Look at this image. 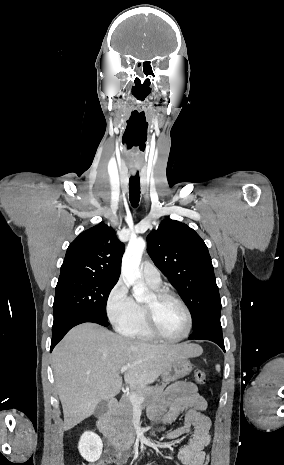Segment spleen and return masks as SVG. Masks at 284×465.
I'll use <instances>...</instances> for the list:
<instances>
[{
    "mask_svg": "<svg viewBox=\"0 0 284 465\" xmlns=\"http://www.w3.org/2000/svg\"><path fill=\"white\" fill-rule=\"evenodd\" d=\"M215 369H216V371H218V373H219V371H221L220 365H216Z\"/></svg>",
    "mask_w": 284,
    "mask_h": 465,
    "instance_id": "spleen-1",
    "label": "spleen"
}]
</instances>
